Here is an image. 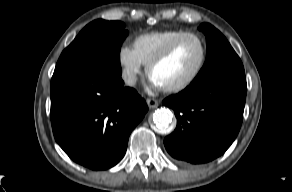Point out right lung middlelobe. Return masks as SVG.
I'll use <instances>...</instances> for the list:
<instances>
[{
  "mask_svg": "<svg viewBox=\"0 0 292 192\" xmlns=\"http://www.w3.org/2000/svg\"><path fill=\"white\" fill-rule=\"evenodd\" d=\"M127 34L120 21L95 20L62 52L57 64H91L121 75L120 47Z\"/></svg>",
  "mask_w": 292,
  "mask_h": 192,
  "instance_id": "dd1d6c3e",
  "label": "right lung middle lobe"
}]
</instances>
